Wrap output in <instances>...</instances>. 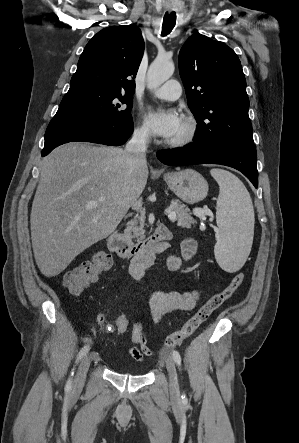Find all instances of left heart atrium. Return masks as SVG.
I'll use <instances>...</instances> for the list:
<instances>
[{"mask_svg": "<svg viewBox=\"0 0 299 443\" xmlns=\"http://www.w3.org/2000/svg\"><path fill=\"white\" fill-rule=\"evenodd\" d=\"M144 119L153 134L165 139L173 137L182 123L179 114L172 109L151 108L145 112Z\"/></svg>", "mask_w": 299, "mask_h": 443, "instance_id": "1", "label": "left heart atrium"}]
</instances>
